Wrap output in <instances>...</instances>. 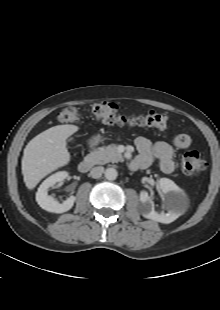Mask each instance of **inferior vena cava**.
Returning <instances> with one entry per match:
<instances>
[{"label": "inferior vena cava", "instance_id": "inferior-vena-cava-1", "mask_svg": "<svg viewBox=\"0 0 220 310\" xmlns=\"http://www.w3.org/2000/svg\"><path fill=\"white\" fill-rule=\"evenodd\" d=\"M103 173H104V167L97 166V167L92 168L90 172V176L96 179V178H100Z\"/></svg>", "mask_w": 220, "mask_h": 310}]
</instances>
